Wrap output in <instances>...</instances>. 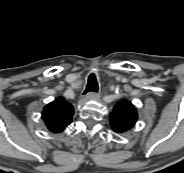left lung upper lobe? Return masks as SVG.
I'll return each mask as SVG.
<instances>
[{
	"instance_id": "left-lung-upper-lobe-1",
	"label": "left lung upper lobe",
	"mask_w": 184,
	"mask_h": 173,
	"mask_svg": "<svg viewBox=\"0 0 184 173\" xmlns=\"http://www.w3.org/2000/svg\"><path fill=\"white\" fill-rule=\"evenodd\" d=\"M137 112L131 102L120 101L110 114V124L117 133H126L136 123Z\"/></svg>"
}]
</instances>
